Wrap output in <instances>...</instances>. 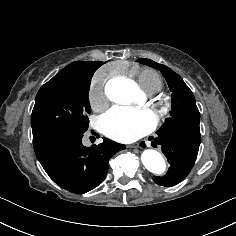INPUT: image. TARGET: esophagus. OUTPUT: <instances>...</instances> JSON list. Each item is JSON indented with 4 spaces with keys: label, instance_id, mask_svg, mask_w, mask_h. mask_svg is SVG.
Here are the masks:
<instances>
[{
    "label": "esophagus",
    "instance_id": "34e87169",
    "mask_svg": "<svg viewBox=\"0 0 236 236\" xmlns=\"http://www.w3.org/2000/svg\"><path fill=\"white\" fill-rule=\"evenodd\" d=\"M128 147L132 148V147H135V145H129Z\"/></svg>",
    "mask_w": 236,
    "mask_h": 236
}]
</instances>
